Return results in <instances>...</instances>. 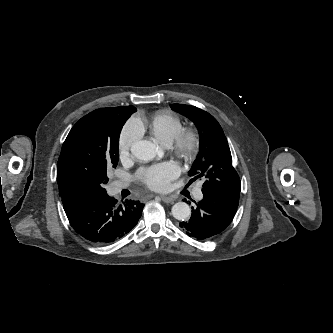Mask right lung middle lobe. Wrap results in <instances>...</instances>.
I'll list each match as a JSON object with an SVG mask.
<instances>
[{"label": "right lung middle lobe", "mask_w": 333, "mask_h": 333, "mask_svg": "<svg viewBox=\"0 0 333 333\" xmlns=\"http://www.w3.org/2000/svg\"><path fill=\"white\" fill-rule=\"evenodd\" d=\"M136 112L133 106L100 108L81 118L63 143L57 181L74 199L103 198L107 167L118 163L122 126Z\"/></svg>", "instance_id": "dd1d6c3e"}]
</instances>
